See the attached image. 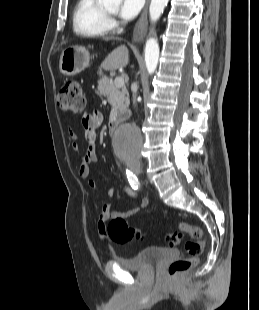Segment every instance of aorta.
Returning a JSON list of instances; mask_svg holds the SVG:
<instances>
[{
    "mask_svg": "<svg viewBox=\"0 0 259 310\" xmlns=\"http://www.w3.org/2000/svg\"><path fill=\"white\" fill-rule=\"evenodd\" d=\"M121 0H102L105 6H116ZM169 0H151L149 7L150 20L156 22L162 15ZM159 59V45L157 39L151 37L145 45V63L149 74L157 68ZM142 144V134L132 126L122 127L115 136V147L120 154L137 153Z\"/></svg>",
    "mask_w": 259,
    "mask_h": 310,
    "instance_id": "762f6f07",
    "label": "aorta"
}]
</instances>
